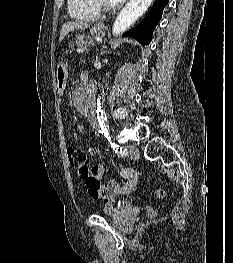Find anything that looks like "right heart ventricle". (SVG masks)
Listing matches in <instances>:
<instances>
[{"label": "right heart ventricle", "instance_id": "1", "mask_svg": "<svg viewBox=\"0 0 233 263\" xmlns=\"http://www.w3.org/2000/svg\"><path fill=\"white\" fill-rule=\"evenodd\" d=\"M68 9L70 15L79 20L91 21L99 15L93 0H68Z\"/></svg>", "mask_w": 233, "mask_h": 263}]
</instances>
